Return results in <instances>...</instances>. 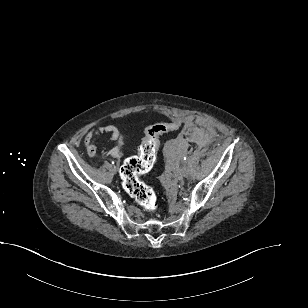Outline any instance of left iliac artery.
<instances>
[{"label": "left iliac artery", "mask_w": 308, "mask_h": 308, "mask_svg": "<svg viewBox=\"0 0 308 308\" xmlns=\"http://www.w3.org/2000/svg\"><path fill=\"white\" fill-rule=\"evenodd\" d=\"M183 159H184V160H186V159H187V157L185 156Z\"/></svg>", "instance_id": "44dca946"}]
</instances>
